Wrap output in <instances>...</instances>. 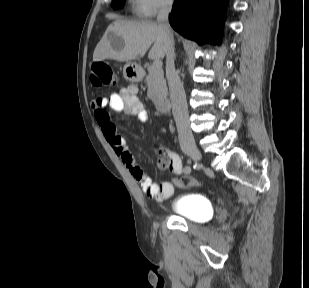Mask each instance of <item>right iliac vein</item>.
Instances as JSON below:
<instances>
[{"mask_svg":"<svg viewBox=\"0 0 309 288\" xmlns=\"http://www.w3.org/2000/svg\"><path fill=\"white\" fill-rule=\"evenodd\" d=\"M183 151L195 161H200L202 159V154L196 146H186L183 148Z\"/></svg>","mask_w":309,"mask_h":288,"instance_id":"1","label":"right iliac vein"}]
</instances>
